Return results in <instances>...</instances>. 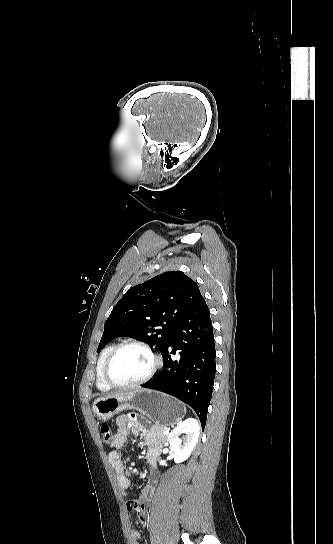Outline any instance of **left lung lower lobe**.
I'll return each instance as SVG.
<instances>
[{
	"instance_id": "obj_1",
	"label": "left lung lower lobe",
	"mask_w": 333,
	"mask_h": 544,
	"mask_svg": "<svg viewBox=\"0 0 333 544\" xmlns=\"http://www.w3.org/2000/svg\"><path fill=\"white\" fill-rule=\"evenodd\" d=\"M178 350L179 358L172 354ZM163 368L142 387L172 395L191 406L205 428L215 378V344L209 308L201 296L176 325L161 353Z\"/></svg>"
}]
</instances>
